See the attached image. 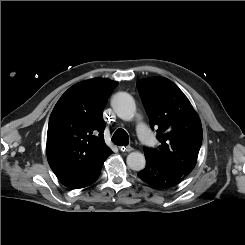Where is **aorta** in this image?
<instances>
[{
	"instance_id": "obj_1",
	"label": "aorta",
	"mask_w": 245,
	"mask_h": 245,
	"mask_svg": "<svg viewBox=\"0 0 245 245\" xmlns=\"http://www.w3.org/2000/svg\"><path fill=\"white\" fill-rule=\"evenodd\" d=\"M112 107L117 116L125 121L133 119L136 113V104L133 97L126 92H119L112 99ZM145 156L140 152H132L127 156V165L134 171L145 168Z\"/></svg>"
}]
</instances>
